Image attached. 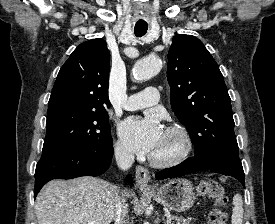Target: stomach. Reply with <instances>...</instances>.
<instances>
[{
    "label": "stomach",
    "mask_w": 275,
    "mask_h": 224,
    "mask_svg": "<svg viewBox=\"0 0 275 224\" xmlns=\"http://www.w3.org/2000/svg\"><path fill=\"white\" fill-rule=\"evenodd\" d=\"M193 190V185L189 180L178 178L155 187L151 194L164 207L176 212H185L194 204Z\"/></svg>",
    "instance_id": "1"
}]
</instances>
